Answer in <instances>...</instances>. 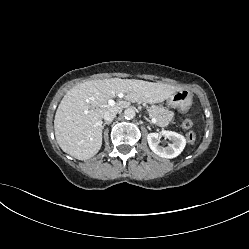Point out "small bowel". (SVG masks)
Instances as JSON below:
<instances>
[{"mask_svg":"<svg viewBox=\"0 0 249 249\" xmlns=\"http://www.w3.org/2000/svg\"><path fill=\"white\" fill-rule=\"evenodd\" d=\"M187 109H188V107H187L186 105H182V106L179 107V110H180V112H182V113L186 112Z\"/></svg>","mask_w":249,"mask_h":249,"instance_id":"small-bowel-1","label":"small bowel"}]
</instances>
